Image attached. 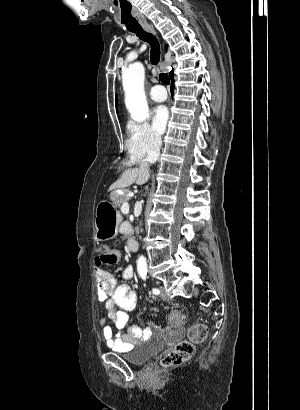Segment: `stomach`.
Returning <instances> with one entry per match:
<instances>
[{
  "label": "stomach",
  "instance_id": "stomach-1",
  "mask_svg": "<svg viewBox=\"0 0 300 410\" xmlns=\"http://www.w3.org/2000/svg\"><path fill=\"white\" fill-rule=\"evenodd\" d=\"M117 194L116 191L111 193L112 203L103 201L97 206L95 216V236L98 241L112 239L118 233V226L122 217L119 211H117V205L114 201Z\"/></svg>",
  "mask_w": 300,
  "mask_h": 410
}]
</instances>
